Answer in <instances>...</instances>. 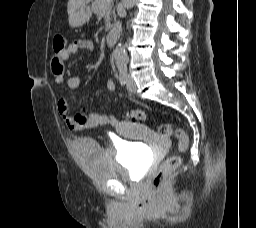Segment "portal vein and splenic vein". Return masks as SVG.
Wrapping results in <instances>:
<instances>
[{"label":"portal vein and splenic vein","mask_w":256,"mask_h":228,"mask_svg":"<svg viewBox=\"0 0 256 228\" xmlns=\"http://www.w3.org/2000/svg\"><path fill=\"white\" fill-rule=\"evenodd\" d=\"M106 3L113 2V0H104Z\"/></svg>","instance_id":"portal-vein-and-splenic-vein-1"}]
</instances>
